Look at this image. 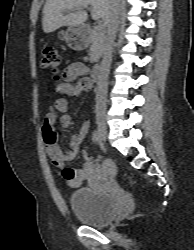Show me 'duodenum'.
I'll return each mask as SVG.
<instances>
[{
    "label": "duodenum",
    "instance_id": "1",
    "mask_svg": "<svg viewBox=\"0 0 194 250\" xmlns=\"http://www.w3.org/2000/svg\"><path fill=\"white\" fill-rule=\"evenodd\" d=\"M100 78V65L95 64L92 68V79L97 82Z\"/></svg>",
    "mask_w": 194,
    "mask_h": 250
}]
</instances>
